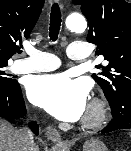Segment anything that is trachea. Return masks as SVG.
Instances as JSON below:
<instances>
[{
    "label": "trachea",
    "mask_w": 131,
    "mask_h": 151,
    "mask_svg": "<svg viewBox=\"0 0 131 151\" xmlns=\"http://www.w3.org/2000/svg\"><path fill=\"white\" fill-rule=\"evenodd\" d=\"M61 26V12L57 3H54L51 8L50 14V27H49V36L50 40L56 41Z\"/></svg>",
    "instance_id": "obj_1"
}]
</instances>
